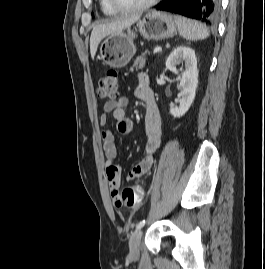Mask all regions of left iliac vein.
<instances>
[{"label":"left iliac vein","instance_id":"1","mask_svg":"<svg viewBox=\"0 0 265 269\" xmlns=\"http://www.w3.org/2000/svg\"><path fill=\"white\" fill-rule=\"evenodd\" d=\"M142 237V230H136L130 240H129V249H130V256L131 258H138L140 252V242Z\"/></svg>","mask_w":265,"mask_h":269}]
</instances>
